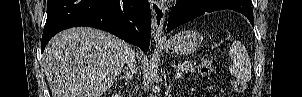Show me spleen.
<instances>
[{"label":"spleen","mask_w":302,"mask_h":97,"mask_svg":"<svg viewBox=\"0 0 302 97\" xmlns=\"http://www.w3.org/2000/svg\"><path fill=\"white\" fill-rule=\"evenodd\" d=\"M229 56L233 62L229 68L230 72L241 81H249L251 79V64L244 45L238 41L233 42Z\"/></svg>","instance_id":"1"}]
</instances>
